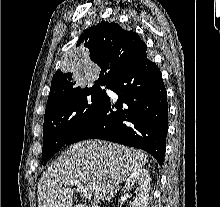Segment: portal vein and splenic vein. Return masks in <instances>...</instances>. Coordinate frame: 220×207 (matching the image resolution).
<instances>
[{
	"label": "portal vein and splenic vein",
	"instance_id": "18ae733b",
	"mask_svg": "<svg viewBox=\"0 0 220 207\" xmlns=\"http://www.w3.org/2000/svg\"><path fill=\"white\" fill-rule=\"evenodd\" d=\"M65 185H73V186H76L77 189L82 192V196L85 198V199H91L92 198V192L84 187L79 181L77 180H70V181H67L65 183Z\"/></svg>",
	"mask_w": 220,
	"mask_h": 207
}]
</instances>
